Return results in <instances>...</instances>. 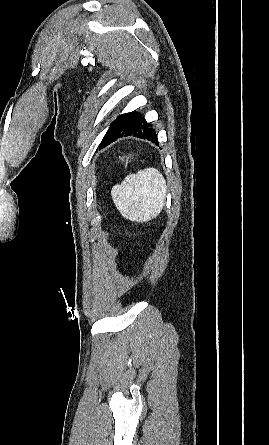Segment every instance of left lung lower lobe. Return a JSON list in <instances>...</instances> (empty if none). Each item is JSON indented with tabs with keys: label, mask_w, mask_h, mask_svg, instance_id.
<instances>
[{
	"label": "left lung lower lobe",
	"mask_w": 269,
	"mask_h": 445,
	"mask_svg": "<svg viewBox=\"0 0 269 445\" xmlns=\"http://www.w3.org/2000/svg\"><path fill=\"white\" fill-rule=\"evenodd\" d=\"M134 136L142 139H148L158 145L157 135L150 123L137 112H130L120 115L110 125L107 133L105 134L100 148H103L119 137Z\"/></svg>",
	"instance_id": "obj_1"
}]
</instances>
